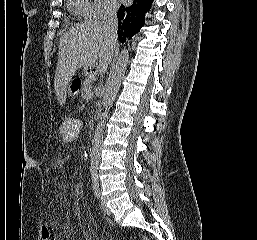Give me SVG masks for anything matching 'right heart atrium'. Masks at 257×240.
Listing matches in <instances>:
<instances>
[{"label": "right heart atrium", "instance_id": "right-heart-atrium-1", "mask_svg": "<svg viewBox=\"0 0 257 240\" xmlns=\"http://www.w3.org/2000/svg\"><path fill=\"white\" fill-rule=\"evenodd\" d=\"M89 18L100 19L114 14L118 9L116 0H90Z\"/></svg>", "mask_w": 257, "mask_h": 240}]
</instances>
